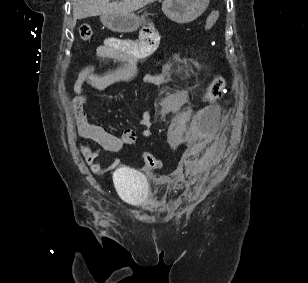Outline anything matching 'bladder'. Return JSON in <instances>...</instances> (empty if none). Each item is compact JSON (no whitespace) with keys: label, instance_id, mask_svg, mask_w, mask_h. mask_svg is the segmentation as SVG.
<instances>
[{"label":"bladder","instance_id":"obj_1","mask_svg":"<svg viewBox=\"0 0 308 283\" xmlns=\"http://www.w3.org/2000/svg\"><path fill=\"white\" fill-rule=\"evenodd\" d=\"M114 181L120 195L129 203L143 204L147 196L146 178L131 169L119 168L114 174Z\"/></svg>","mask_w":308,"mask_h":283}]
</instances>
